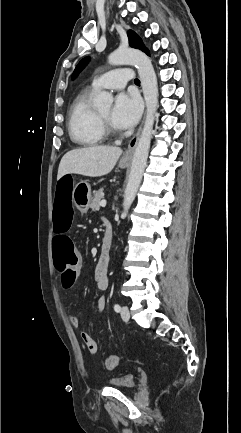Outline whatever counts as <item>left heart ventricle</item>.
Masks as SVG:
<instances>
[{
    "instance_id": "b2bd125f",
    "label": "left heart ventricle",
    "mask_w": 241,
    "mask_h": 433,
    "mask_svg": "<svg viewBox=\"0 0 241 433\" xmlns=\"http://www.w3.org/2000/svg\"><path fill=\"white\" fill-rule=\"evenodd\" d=\"M99 114L111 123V109L110 108H107L103 111H100Z\"/></svg>"
}]
</instances>
